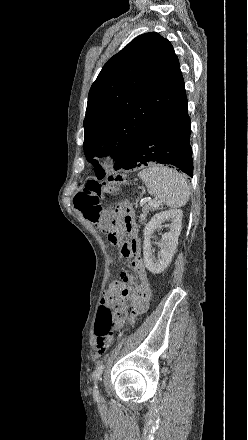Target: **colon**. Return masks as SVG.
<instances>
[{
  "label": "colon",
  "mask_w": 248,
  "mask_h": 440,
  "mask_svg": "<svg viewBox=\"0 0 248 440\" xmlns=\"http://www.w3.org/2000/svg\"><path fill=\"white\" fill-rule=\"evenodd\" d=\"M120 176L112 180H120ZM104 194V185L96 180H90L85 188L74 198V206L90 222L96 224L103 233L107 234L111 244H118L120 238L112 228L111 217L113 209L109 208L107 213H103L100 205V197ZM114 315L111 309L101 304L98 309L95 322V334L97 337V351L99 355L105 354L113 343L112 327Z\"/></svg>",
  "instance_id": "1"
}]
</instances>
